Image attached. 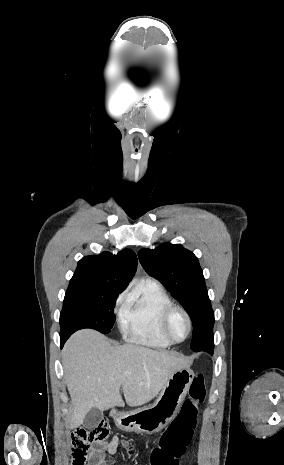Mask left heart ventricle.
Returning <instances> with one entry per match:
<instances>
[{
	"label": "left heart ventricle",
	"mask_w": 284,
	"mask_h": 465,
	"mask_svg": "<svg viewBox=\"0 0 284 465\" xmlns=\"http://www.w3.org/2000/svg\"><path fill=\"white\" fill-rule=\"evenodd\" d=\"M168 331L171 337L176 341H181L186 337L188 331L187 321L181 312L173 314L169 321Z\"/></svg>",
	"instance_id": "1"
}]
</instances>
